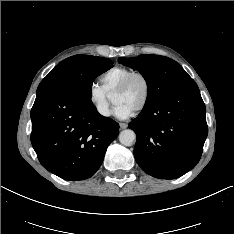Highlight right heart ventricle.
I'll list each match as a JSON object with an SVG mask.
<instances>
[{
    "mask_svg": "<svg viewBox=\"0 0 234 234\" xmlns=\"http://www.w3.org/2000/svg\"><path fill=\"white\" fill-rule=\"evenodd\" d=\"M133 72L124 66L111 67L100 76V86L108 96H112L122 81Z\"/></svg>",
    "mask_w": 234,
    "mask_h": 234,
    "instance_id": "obj_1",
    "label": "right heart ventricle"
}]
</instances>
